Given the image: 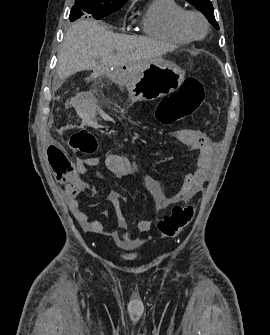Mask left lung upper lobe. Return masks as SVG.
<instances>
[{"instance_id": "1", "label": "left lung upper lobe", "mask_w": 270, "mask_h": 335, "mask_svg": "<svg viewBox=\"0 0 270 335\" xmlns=\"http://www.w3.org/2000/svg\"><path fill=\"white\" fill-rule=\"evenodd\" d=\"M187 1L193 6H195L196 9L201 11L215 28L219 29V25L214 17L213 5L209 0H187Z\"/></svg>"}]
</instances>
